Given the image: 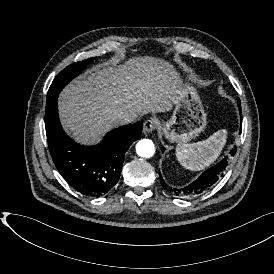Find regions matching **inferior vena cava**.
Returning <instances> with one entry per match:
<instances>
[{
	"instance_id": "inferior-vena-cava-1",
	"label": "inferior vena cava",
	"mask_w": 274,
	"mask_h": 274,
	"mask_svg": "<svg viewBox=\"0 0 274 274\" xmlns=\"http://www.w3.org/2000/svg\"><path fill=\"white\" fill-rule=\"evenodd\" d=\"M137 120V116L131 113H122L119 119L120 124L134 123Z\"/></svg>"
}]
</instances>
